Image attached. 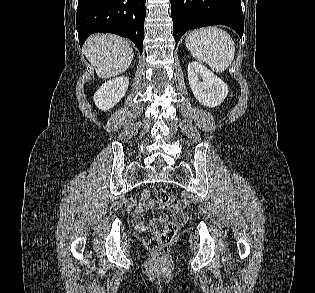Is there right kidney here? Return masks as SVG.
<instances>
[{"mask_svg": "<svg viewBox=\"0 0 315 293\" xmlns=\"http://www.w3.org/2000/svg\"><path fill=\"white\" fill-rule=\"evenodd\" d=\"M128 85L129 80L125 76L107 81L94 94L95 105L103 111L114 107L125 95Z\"/></svg>", "mask_w": 315, "mask_h": 293, "instance_id": "obj_1", "label": "right kidney"}]
</instances>
